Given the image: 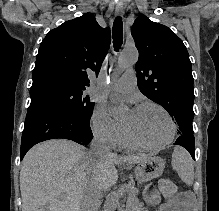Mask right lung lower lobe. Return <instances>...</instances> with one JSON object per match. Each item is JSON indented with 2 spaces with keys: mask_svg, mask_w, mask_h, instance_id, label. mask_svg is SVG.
Segmentation results:
<instances>
[{
  "mask_svg": "<svg viewBox=\"0 0 219 211\" xmlns=\"http://www.w3.org/2000/svg\"><path fill=\"white\" fill-rule=\"evenodd\" d=\"M89 120L82 119L49 97L31 98L22 134L20 159L35 144L55 138L88 145L93 138Z\"/></svg>",
  "mask_w": 219,
  "mask_h": 211,
  "instance_id": "obj_1",
  "label": "right lung lower lobe"
}]
</instances>
